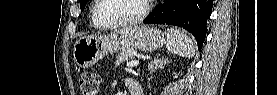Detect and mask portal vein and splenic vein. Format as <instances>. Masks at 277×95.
<instances>
[{"label": "portal vein and splenic vein", "instance_id": "portal-vein-and-splenic-vein-1", "mask_svg": "<svg viewBox=\"0 0 277 95\" xmlns=\"http://www.w3.org/2000/svg\"><path fill=\"white\" fill-rule=\"evenodd\" d=\"M138 64H139V61H138V60H132V61L128 62V63L126 64V66H127L128 68H132V67L137 66Z\"/></svg>", "mask_w": 277, "mask_h": 95}]
</instances>
